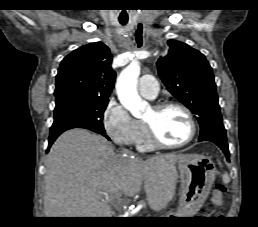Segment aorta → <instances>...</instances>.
I'll list each match as a JSON object with an SVG mask.
<instances>
[{
  "instance_id": "762f6f07",
  "label": "aorta",
  "mask_w": 258,
  "mask_h": 227,
  "mask_svg": "<svg viewBox=\"0 0 258 227\" xmlns=\"http://www.w3.org/2000/svg\"><path fill=\"white\" fill-rule=\"evenodd\" d=\"M139 75L140 64L133 61L123 69L116 83V91L121 104L136 118H140L148 106L137 91Z\"/></svg>"
}]
</instances>
